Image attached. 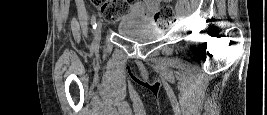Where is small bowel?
<instances>
[{"label":"small bowel","mask_w":267,"mask_h":115,"mask_svg":"<svg viewBox=\"0 0 267 115\" xmlns=\"http://www.w3.org/2000/svg\"><path fill=\"white\" fill-rule=\"evenodd\" d=\"M161 2V0H144L134 3L131 6V16L145 20H153L154 13Z\"/></svg>","instance_id":"small-bowel-1"}]
</instances>
